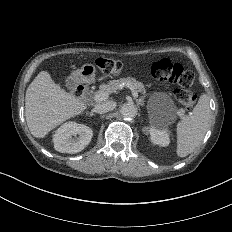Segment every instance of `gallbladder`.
I'll use <instances>...</instances> for the list:
<instances>
[{
	"label": "gallbladder",
	"instance_id": "obj_1",
	"mask_svg": "<svg viewBox=\"0 0 232 232\" xmlns=\"http://www.w3.org/2000/svg\"><path fill=\"white\" fill-rule=\"evenodd\" d=\"M75 86H76V84H75L74 81H69V82H68L67 87H68L71 91L75 90Z\"/></svg>",
	"mask_w": 232,
	"mask_h": 232
}]
</instances>
